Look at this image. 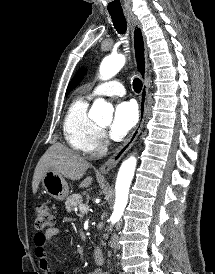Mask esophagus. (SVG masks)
I'll list each match as a JSON object with an SVG mask.
<instances>
[{
	"mask_svg": "<svg viewBox=\"0 0 215 274\" xmlns=\"http://www.w3.org/2000/svg\"><path fill=\"white\" fill-rule=\"evenodd\" d=\"M126 18L132 29V45L135 67L143 82L140 95L139 121L126 142L120 146V148L104 164L101 165L100 171L104 174L108 173L112 168H114L124 156V154L132 147L142 130L146 114L149 83L147 77V47L145 36L136 16H134L132 13H127Z\"/></svg>",
	"mask_w": 215,
	"mask_h": 274,
	"instance_id": "34e87169",
	"label": "esophagus"
}]
</instances>
